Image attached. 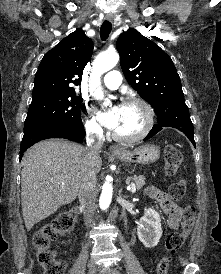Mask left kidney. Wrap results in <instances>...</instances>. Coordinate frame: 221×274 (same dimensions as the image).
Listing matches in <instances>:
<instances>
[{
  "label": "left kidney",
  "instance_id": "5707ae66",
  "mask_svg": "<svg viewBox=\"0 0 221 274\" xmlns=\"http://www.w3.org/2000/svg\"><path fill=\"white\" fill-rule=\"evenodd\" d=\"M137 234L146 248H153L159 243L162 227L158 212L151 208H145V213L137 225Z\"/></svg>",
  "mask_w": 221,
  "mask_h": 274
}]
</instances>
